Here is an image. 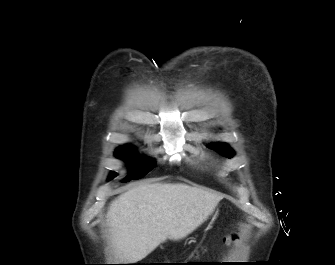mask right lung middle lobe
Segmentation results:
<instances>
[{"label":"right lung middle lobe","instance_id":"obj_1","mask_svg":"<svg viewBox=\"0 0 335 265\" xmlns=\"http://www.w3.org/2000/svg\"><path fill=\"white\" fill-rule=\"evenodd\" d=\"M115 156L119 159L130 161V174L122 182H128L130 180L140 179L150 172L153 167L156 166L154 162H151L147 158H141L135 152V150L128 146H122L117 148ZM111 179V178H110Z\"/></svg>","mask_w":335,"mask_h":265}]
</instances>
